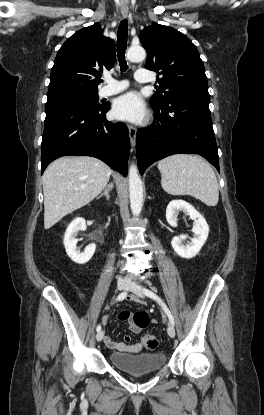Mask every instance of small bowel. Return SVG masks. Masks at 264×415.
Returning <instances> with one entry per match:
<instances>
[{
	"label": "small bowel",
	"mask_w": 264,
	"mask_h": 415,
	"mask_svg": "<svg viewBox=\"0 0 264 415\" xmlns=\"http://www.w3.org/2000/svg\"><path fill=\"white\" fill-rule=\"evenodd\" d=\"M129 300L134 303H138V304L143 303V301L135 295L130 296ZM116 317L119 321L127 323L129 326V329L132 332L134 333L139 332V328L132 322V315L130 312L121 311L120 313L117 314ZM111 318H112V315L110 314L104 315L102 317V321L104 325H106L111 320ZM152 323L154 324L155 321H153ZM103 338H104L105 344L111 349H115L121 352H128V353H139L143 350V345L141 343L130 344L131 337L129 335H124L122 342L112 339V337H110L107 334H104Z\"/></svg>",
	"instance_id": "obj_1"
}]
</instances>
